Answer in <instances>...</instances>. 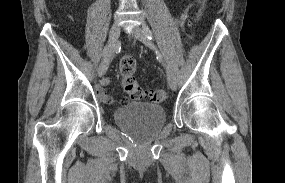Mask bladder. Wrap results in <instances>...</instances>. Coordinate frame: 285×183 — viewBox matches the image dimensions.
Listing matches in <instances>:
<instances>
[{
    "label": "bladder",
    "instance_id": "obj_1",
    "mask_svg": "<svg viewBox=\"0 0 285 183\" xmlns=\"http://www.w3.org/2000/svg\"><path fill=\"white\" fill-rule=\"evenodd\" d=\"M115 122L139 134L157 132L166 121L165 108L152 103H131L114 112Z\"/></svg>",
    "mask_w": 285,
    "mask_h": 183
}]
</instances>
